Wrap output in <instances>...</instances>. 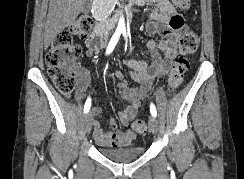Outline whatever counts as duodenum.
Wrapping results in <instances>:
<instances>
[{"label":"duodenum","instance_id":"duodenum-1","mask_svg":"<svg viewBox=\"0 0 244 179\" xmlns=\"http://www.w3.org/2000/svg\"><path fill=\"white\" fill-rule=\"evenodd\" d=\"M133 8H129L126 10V14L131 16L133 14ZM109 37L106 34V29L103 28V24L101 22V18L99 17L96 22V30L89 37V43L95 48H101L106 45Z\"/></svg>","mask_w":244,"mask_h":179}]
</instances>
